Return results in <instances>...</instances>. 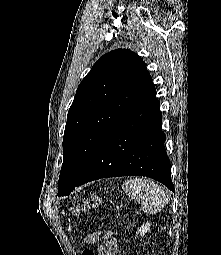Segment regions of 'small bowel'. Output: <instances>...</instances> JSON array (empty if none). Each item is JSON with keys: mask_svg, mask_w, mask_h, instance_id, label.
<instances>
[{"mask_svg": "<svg viewBox=\"0 0 221 255\" xmlns=\"http://www.w3.org/2000/svg\"><path fill=\"white\" fill-rule=\"evenodd\" d=\"M100 239L103 241V245H100L97 249L98 255H118L119 248L118 243L112 233L107 232L103 236L98 233L90 235L86 243L92 244L98 242Z\"/></svg>", "mask_w": 221, "mask_h": 255, "instance_id": "obj_1", "label": "small bowel"}]
</instances>
